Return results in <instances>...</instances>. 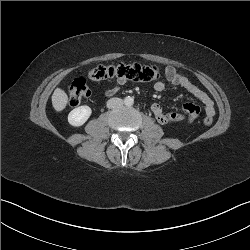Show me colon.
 Returning a JSON list of instances; mask_svg holds the SVG:
<instances>
[{
    "mask_svg": "<svg viewBox=\"0 0 250 250\" xmlns=\"http://www.w3.org/2000/svg\"><path fill=\"white\" fill-rule=\"evenodd\" d=\"M159 77V70L156 66L140 64H116V65H97L90 69L88 78L100 81L108 78L131 80L136 82H150ZM70 105H78L85 100L90 92L84 78L75 79L67 90ZM204 125L210 126L213 123L212 116L204 118Z\"/></svg>",
    "mask_w": 250,
    "mask_h": 250,
    "instance_id": "5ec220e1",
    "label": "colon"
}]
</instances>
